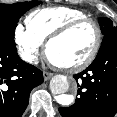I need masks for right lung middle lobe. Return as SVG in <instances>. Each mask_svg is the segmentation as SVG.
Masks as SVG:
<instances>
[{"label": "right lung middle lobe", "mask_w": 117, "mask_h": 117, "mask_svg": "<svg viewBox=\"0 0 117 117\" xmlns=\"http://www.w3.org/2000/svg\"><path fill=\"white\" fill-rule=\"evenodd\" d=\"M41 1L0 4V36L14 42V33L18 19Z\"/></svg>", "instance_id": "right-lung-middle-lobe-1"}]
</instances>
